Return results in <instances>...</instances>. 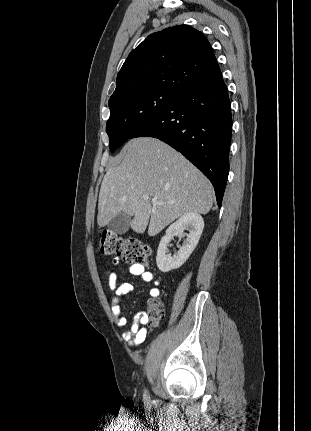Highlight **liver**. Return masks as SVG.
<instances>
[{"mask_svg":"<svg viewBox=\"0 0 311 431\" xmlns=\"http://www.w3.org/2000/svg\"><path fill=\"white\" fill-rule=\"evenodd\" d=\"M122 154L124 160L108 168L101 184L97 214L100 227L123 212L133 217V231L144 233L148 225V235H156L183 214L210 212L212 184L164 142L134 138L125 144ZM143 196H149V200H143ZM153 198L166 204L154 206Z\"/></svg>","mask_w":311,"mask_h":431,"instance_id":"1","label":"liver"}]
</instances>
